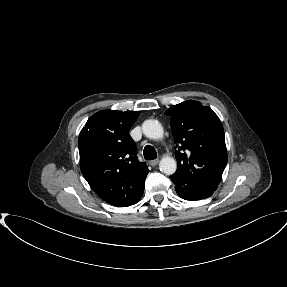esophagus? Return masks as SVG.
Wrapping results in <instances>:
<instances>
[{"mask_svg": "<svg viewBox=\"0 0 287 287\" xmlns=\"http://www.w3.org/2000/svg\"><path fill=\"white\" fill-rule=\"evenodd\" d=\"M158 163H159V159H154V160L149 161V165L153 167L158 165Z\"/></svg>", "mask_w": 287, "mask_h": 287, "instance_id": "34e87169", "label": "esophagus"}]
</instances>
